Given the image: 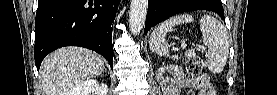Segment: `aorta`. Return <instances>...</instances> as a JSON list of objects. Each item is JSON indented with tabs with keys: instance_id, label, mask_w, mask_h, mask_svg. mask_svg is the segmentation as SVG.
Wrapping results in <instances>:
<instances>
[{
	"instance_id": "762f6f07",
	"label": "aorta",
	"mask_w": 277,
	"mask_h": 95,
	"mask_svg": "<svg viewBox=\"0 0 277 95\" xmlns=\"http://www.w3.org/2000/svg\"><path fill=\"white\" fill-rule=\"evenodd\" d=\"M148 9V0H131L129 12V28L137 35L144 27Z\"/></svg>"
}]
</instances>
